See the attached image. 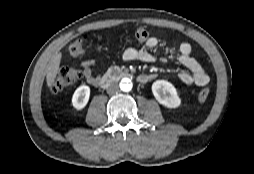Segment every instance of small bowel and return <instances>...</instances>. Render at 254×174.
<instances>
[{
	"mask_svg": "<svg viewBox=\"0 0 254 174\" xmlns=\"http://www.w3.org/2000/svg\"><path fill=\"white\" fill-rule=\"evenodd\" d=\"M159 44V41L155 37H150L145 42L144 48L128 47L124 50L122 58L125 61L141 60L145 62H153L157 59V56L153 53ZM176 60L187 70L178 73V79L187 85L195 84L197 86L206 85L209 82V77L201 64L192 56V47L189 43L183 42L177 47L175 55ZM97 61L95 59H89L80 63V67L83 69L85 80L94 86L99 85L100 75H96L93 71ZM154 78V75H141L139 80L143 83L148 82Z\"/></svg>",
	"mask_w": 254,
	"mask_h": 174,
	"instance_id": "small-bowel-1",
	"label": "small bowel"
}]
</instances>
